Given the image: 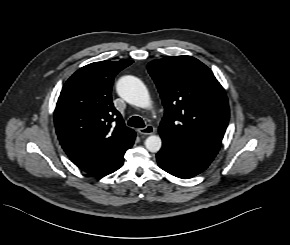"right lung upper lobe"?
I'll use <instances>...</instances> for the list:
<instances>
[{
    "label": "right lung upper lobe",
    "instance_id": "cb5924a9",
    "mask_svg": "<svg viewBox=\"0 0 290 245\" xmlns=\"http://www.w3.org/2000/svg\"><path fill=\"white\" fill-rule=\"evenodd\" d=\"M132 60L101 61L76 71L65 83L55 108V128L71 161L102 177L119 169L132 147L135 132L114 108V77Z\"/></svg>",
    "mask_w": 290,
    "mask_h": 245
}]
</instances>
